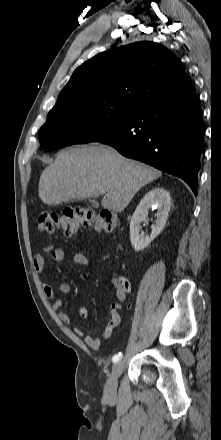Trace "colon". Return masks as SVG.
<instances>
[{"label": "colon", "mask_w": 221, "mask_h": 440, "mask_svg": "<svg viewBox=\"0 0 221 440\" xmlns=\"http://www.w3.org/2000/svg\"><path fill=\"white\" fill-rule=\"evenodd\" d=\"M38 230L45 234L55 231L65 236L76 235L81 228H92L98 232H113L120 227L119 217L111 211L95 213L90 209L66 208L61 213L42 212L37 221ZM119 287L125 293L130 291V283L121 278Z\"/></svg>", "instance_id": "5ec220e1"}]
</instances>
